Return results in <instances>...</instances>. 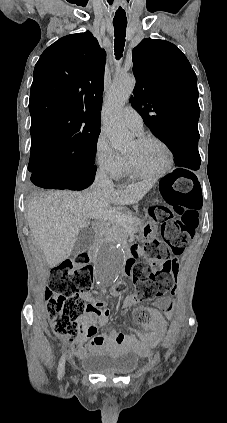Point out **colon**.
<instances>
[{"label":"colon","instance_id":"5ec220e1","mask_svg":"<svg viewBox=\"0 0 227 423\" xmlns=\"http://www.w3.org/2000/svg\"><path fill=\"white\" fill-rule=\"evenodd\" d=\"M161 203L151 209L153 217L161 224L163 236L173 255H180L193 238L198 225V212L202 208V193L194 176L176 172L159 182ZM148 229L145 232L148 233ZM144 254L151 263L138 262L140 249L132 248V257L126 261V272L137 287V296L148 301L172 291L177 280L179 262L167 254L163 244L150 241L144 246ZM93 284V271L86 254H78L52 269L46 300L49 319L54 331L72 342L80 331V321L86 304L83 294ZM125 287L118 283L114 291ZM151 311L141 308L135 319L146 324Z\"/></svg>","mask_w":227,"mask_h":423}]
</instances>
